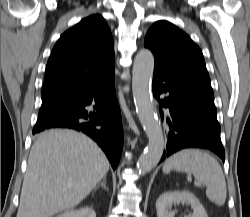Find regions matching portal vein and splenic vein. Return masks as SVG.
Listing matches in <instances>:
<instances>
[{
    "mask_svg": "<svg viewBox=\"0 0 250 217\" xmlns=\"http://www.w3.org/2000/svg\"><path fill=\"white\" fill-rule=\"evenodd\" d=\"M195 184H199L198 182H194Z\"/></svg>",
    "mask_w": 250,
    "mask_h": 217,
    "instance_id": "18ae733b",
    "label": "portal vein and splenic vein"
}]
</instances>
